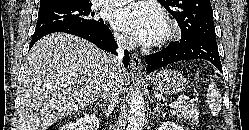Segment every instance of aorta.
I'll use <instances>...</instances> for the list:
<instances>
[{
	"label": "aorta",
	"mask_w": 249,
	"mask_h": 130,
	"mask_svg": "<svg viewBox=\"0 0 249 130\" xmlns=\"http://www.w3.org/2000/svg\"><path fill=\"white\" fill-rule=\"evenodd\" d=\"M128 115V130H143L145 121V103L139 89L136 88L131 93Z\"/></svg>",
	"instance_id": "aorta-1"
}]
</instances>
